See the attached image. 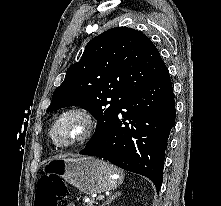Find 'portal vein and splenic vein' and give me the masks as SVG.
Returning a JSON list of instances; mask_svg holds the SVG:
<instances>
[{
	"instance_id": "obj_1",
	"label": "portal vein and splenic vein",
	"mask_w": 221,
	"mask_h": 206,
	"mask_svg": "<svg viewBox=\"0 0 221 206\" xmlns=\"http://www.w3.org/2000/svg\"><path fill=\"white\" fill-rule=\"evenodd\" d=\"M105 198V196L104 195H101V196H99L98 198H97V200H103Z\"/></svg>"
}]
</instances>
